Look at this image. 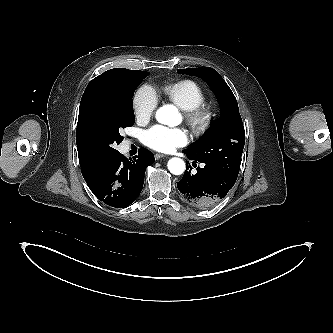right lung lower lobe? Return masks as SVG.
<instances>
[{"instance_id": "obj_1", "label": "right lung lower lobe", "mask_w": 333, "mask_h": 333, "mask_svg": "<svg viewBox=\"0 0 333 333\" xmlns=\"http://www.w3.org/2000/svg\"><path fill=\"white\" fill-rule=\"evenodd\" d=\"M154 161V155L145 148H140L133 160L126 159L118 152L86 182L100 201L112 207L124 208L141 193L146 168Z\"/></svg>"}]
</instances>
